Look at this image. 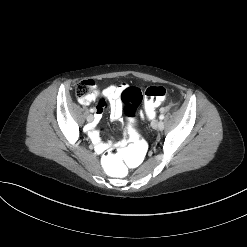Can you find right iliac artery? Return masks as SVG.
<instances>
[{
	"instance_id": "82829eb1",
	"label": "right iliac artery",
	"mask_w": 247,
	"mask_h": 247,
	"mask_svg": "<svg viewBox=\"0 0 247 247\" xmlns=\"http://www.w3.org/2000/svg\"><path fill=\"white\" fill-rule=\"evenodd\" d=\"M95 110L93 108L90 109V112L93 113Z\"/></svg>"
}]
</instances>
